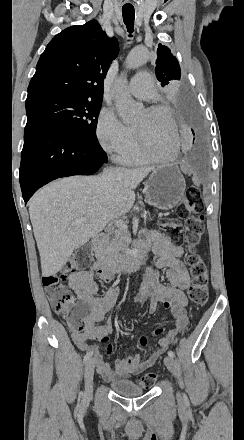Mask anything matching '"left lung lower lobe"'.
Masks as SVG:
<instances>
[{
  "label": "left lung lower lobe",
  "mask_w": 244,
  "mask_h": 440,
  "mask_svg": "<svg viewBox=\"0 0 244 440\" xmlns=\"http://www.w3.org/2000/svg\"><path fill=\"white\" fill-rule=\"evenodd\" d=\"M181 107L183 109V111L191 118H193V113H192V108H191V104L190 101L188 100H184L181 103ZM193 131V130H192ZM194 133V132H193Z\"/></svg>",
  "instance_id": "0a47b994"
}]
</instances>
